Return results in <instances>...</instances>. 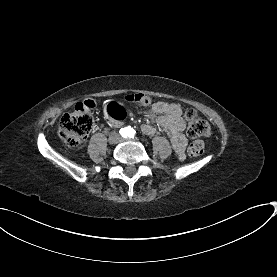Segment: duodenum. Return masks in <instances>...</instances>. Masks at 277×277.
<instances>
[{
    "label": "duodenum",
    "instance_id": "duodenum-1",
    "mask_svg": "<svg viewBox=\"0 0 277 277\" xmlns=\"http://www.w3.org/2000/svg\"><path fill=\"white\" fill-rule=\"evenodd\" d=\"M111 124L116 125V124H118V123L115 122V121H111Z\"/></svg>",
    "mask_w": 277,
    "mask_h": 277
}]
</instances>
